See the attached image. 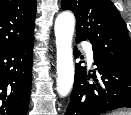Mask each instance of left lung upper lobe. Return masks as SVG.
<instances>
[{
	"instance_id": "5c2ea615",
	"label": "left lung upper lobe",
	"mask_w": 131,
	"mask_h": 115,
	"mask_svg": "<svg viewBox=\"0 0 131 115\" xmlns=\"http://www.w3.org/2000/svg\"><path fill=\"white\" fill-rule=\"evenodd\" d=\"M63 10L76 17V37L88 39L93 50L131 71V43L126 24L110 0H62Z\"/></svg>"
}]
</instances>
